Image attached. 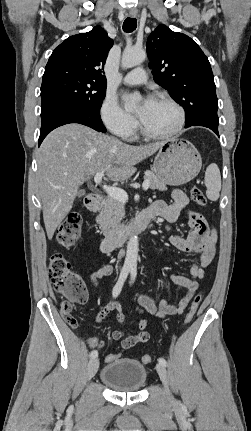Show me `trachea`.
Returning a JSON list of instances; mask_svg holds the SVG:
<instances>
[{"mask_svg": "<svg viewBox=\"0 0 251 431\" xmlns=\"http://www.w3.org/2000/svg\"><path fill=\"white\" fill-rule=\"evenodd\" d=\"M137 27V20L135 18H126L123 23V31L126 33L133 32Z\"/></svg>", "mask_w": 251, "mask_h": 431, "instance_id": "trachea-1", "label": "trachea"}]
</instances>
